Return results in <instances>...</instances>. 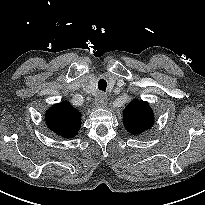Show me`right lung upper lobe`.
Wrapping results in <instances>:
<instances>
[{"instance_id": "right-lung-upper-lobe-1", "label": "right lung upper lobe", "mask_w": 205, "mask_h": 205, "mask_svg": "<svg viewBox=\"0 0 205 205\" xmlns=\"http://www.w3.org/2000/svg\"><path fill=\"white\" fill-rule=\"evenodd\" d=\"M46 123L56 134L72 138L81 127V113L69 102L63 101L46 112Z\"/></svg>"}]
</instances>
